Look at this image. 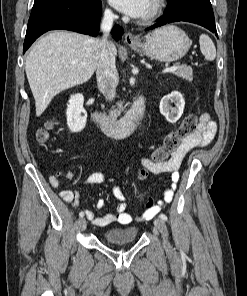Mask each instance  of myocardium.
<instances>
[{
	"instance_id": "obj_1",
	"label": "myocardium",
	"mask_w": 247,
	"mask_h": 296,
	"mask_svg": "<svg viewBox=\"0 0 247 296\" xmlns=\"http://www.w3.org/2000/svg\"><path fill=\"white\" fill-rule=\"evenodd\" d=\"M151 2H152V7L148 12V14L143 16L139 20L140 24H143V25L151 24L155 20H157L162 13L164 8L163 0H152Z\"/></svg>"
}]
</instances>
